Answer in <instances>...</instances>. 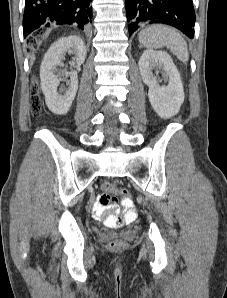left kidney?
<instances>
[{
  "label": "left kidney",
  "mask_w": 227,
  "mask_h": 298,
  "mask_svg": "<svg viewBox=\"0 0 227 298\" xmlns=\"http://www.w3.org/2000/svg\"><path fill=\"white\" fill-rule=\"evenodd\" d=\"M143 82L148 85V98L155 112L162 118L175 116L184 102L183 83L170 55L164 51L146 50L138 62ZM163 67L167 86H160L152 70Z\"/></svg>",
  "instance_id": "obj_1"
}]
</instances>
